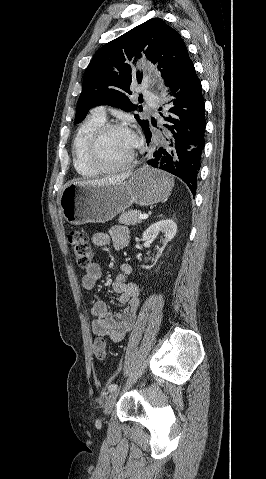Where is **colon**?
Instances as JSON below:
<instances>
[{
	"instance_id": "5ec220e1",
	"label": "colon",
	"mask_w": 266,
	"mask_h": 479,
	"mask_svg": "<svg viewBox=\"0 0 266 479\" xmlns=\"http://www.w3.org/2000/svg\"><path fill=\"white\" fill-rule=\"evenodd\" d=\"M67 239L78 266L88 269L93 263V253L88 235L83 231L73 229L68 232ZM92 351L96 358L105 359L107 357L106 340L102 337L96 338L92 345Z\"/></svg>"
}]
</instances>
